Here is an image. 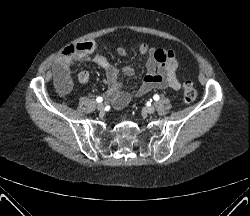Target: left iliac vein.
Here are the masks:
<instances>
[{
	"instance_id": "1",
	"label": "left iliac vein",
	"mask_w": 250,
	"mask_h": 216,
	"mask_svg": "<svg viewBox=\"0 0 250 216\" xmlns=\"http://www.w3.org/2000/svg\"><path fill=\"white\" fill-rule=\"evenodd\" d=\"M144 111H145L147 114H153V113L155 112V107H154V106L145 107V108H144Z\"/></svg>"
}]
</instances>
